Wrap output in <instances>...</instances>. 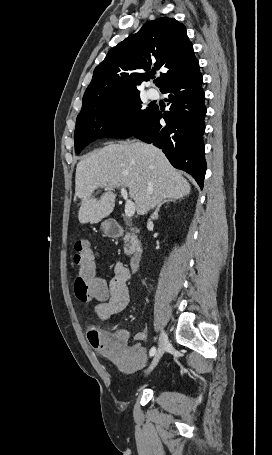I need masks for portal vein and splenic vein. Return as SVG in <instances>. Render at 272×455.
<instances>
[{"label": "portal vein and splenic vein", "instance_id": "18ae733b", "mask_svg": "<svg viewBox=\"0 0 272 455\" xmlns=\"http://www.w3.org/2000/svg\"><path fill=\"white\" fill-rule=\"evenodd\" d=\"M121 195L126 200L125 203V215L132 217L135 214V204L132 200L128 199V193L125 188H121Z\"/></svg>", "mask_w": 272, "mask_h": 455}]
</instances>
